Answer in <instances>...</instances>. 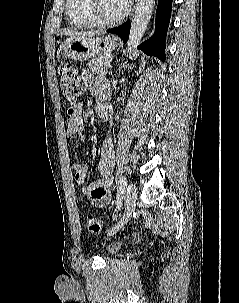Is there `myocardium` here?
Listing matches in <instances>:
<instances>
[{"label":"myocardium","instance_id":"f54148a6","mask_svg":"<svg viewBox=\"0 0 239 303\" xmlns=\"http://www.w3.org/2000/svg\"><path fill=\"white\" fill-rule=\"evenodd\" d=\"M86 9L90 17L97 25L109 26L122 22L128 15V10H125L122 14L115 18H107L102 14L100 7V0H87Z\"/></svg>","mask_w":239,"mask_h":303}]
</instances>
